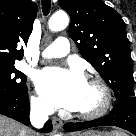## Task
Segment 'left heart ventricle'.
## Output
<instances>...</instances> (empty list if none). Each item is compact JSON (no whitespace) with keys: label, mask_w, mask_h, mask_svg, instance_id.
I'll use <instances>...</instances> for the list:
<instances>
[{"label":"left heart ventricle","mask_w":136,"mask_h":136,"mask_svg":"<svg viewBox=\"0 0 136 136\" xmlns=\"http://www.w3.org/2000/svg\"><path fill=\"white\" fill-rule=\"evenodd\" d=\"M101 103V93L92 84L86 83L83 99L77 111L88 112L96 109Z\"/></svg>","instance_id":"obj_1"}]
</instances>
